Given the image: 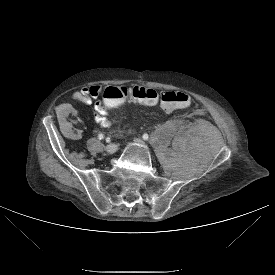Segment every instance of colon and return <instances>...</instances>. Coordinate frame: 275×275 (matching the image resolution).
I'll list each match as a JSON object with an SVG mask.
<instances>
[{
	"label": "colon",
	"mask_w": 275,
	"mask_h": 275,
	"mask_svg": "<svg viewBox=\"0 0 275 275\" xmlns=\"http://www.w3.org/2000/svg\"><path fill=\"white\" fill-rule=\"evenodd\" d=\"M127 99L145 105H154L159 102L161 108L166 112L183 109L190 104V97L185 92L167 91L158 93L153 89L130 86L107 88L104 92L102 105L106 111L112 112L118 108L119 103Z\"/></svg>",
	"instance_id": "obj_1"
}]
</instances>
